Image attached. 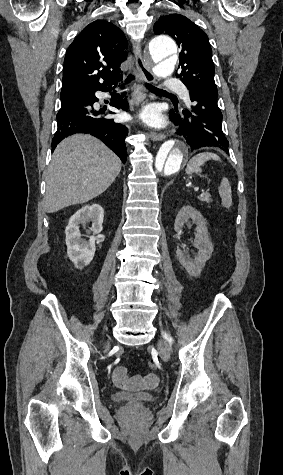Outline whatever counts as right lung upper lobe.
Here are the masks:
<instances>
[{
  "label": "right lung upper lobe",
  "mask_w": 283,
  "mask_h": 475,
  "mask_svg": "<svg viewBox=\"0 0 283 475\" xmlns=\"http://www.w3.org/2000/svg\"><path fill=\"white\" fill-rule=\"evenodd\" d=\"M124 33L114 24L96 20L67 49L62 89H99L123 79L120 64L127 57Z\"/></svg>",
  "instance_id": "right-lung-upper-lobe-1"
}]
</instances>
